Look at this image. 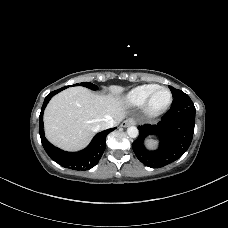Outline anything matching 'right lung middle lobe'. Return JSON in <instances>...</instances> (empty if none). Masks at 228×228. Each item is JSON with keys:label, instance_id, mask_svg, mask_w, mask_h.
Listing matches in <instances>:
<instances>
[{"label": "right lung middle lobe", "instance_id": "obj_1", "mask_svg": "<svg viewBox=\"0 0 228 228\" xmlns=\"http://www.w3.org/2000/svg\"><path fill=\"white\" fill-rule=\"evenodd\" d=\"M78 85L79 84H75L74 86H78ZM81 86H85V87L90 88L92 90H96L97 89L96 85H94L92 83H89V82H83V83H81ZM65 88H67V87H63L62 89H65Z\"/></svg>", "mask_w": 228, "mask_h": 228}]
</instances>
